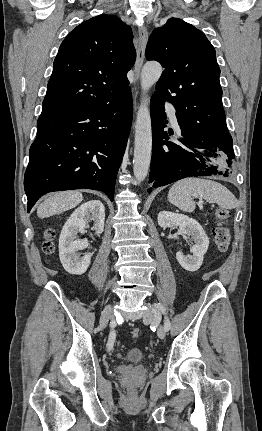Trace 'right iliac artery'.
<instances>
[{"instance_id": "obj_1", "label": "right iliac artery", "mask_w": 262, "mask_h": 431, "mask_svg": "<svg viewBox=\"0 0 262 431\" xmlns=\"http://www.w3.org/2000/svg\"><path fill=\"white\" fill-rule=\"evenodd\" d=\"M114 341H115V337L114 336L112 337V331H111L109 335L108 343H107L108 350L112 349Z\"/></svg>"}]
</instances>
